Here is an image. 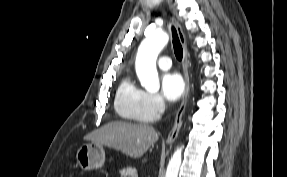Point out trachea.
<instances>
[{"label": "trachea", "instance_id": "1", "mask_svg": "<svg viewBox=\"0 0 287 177\" xmlns=\"http://www.w3.org/2000/svg\"><path fill=\"white\" fill-rule=\"evenodd\" d=\"M172 37H173V48L175 56L178 60L181 61L183 58V48L182 45L180 44L177 31L174 27H172Z\"/></svg>", "mask_w": 287, "mask_h": 177}]
</instances>
